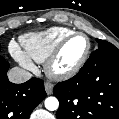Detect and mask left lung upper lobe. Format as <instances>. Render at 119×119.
Instances as JSON below:
<instances>
[{
	"label": "left lung upper lobe",
	"mask_w": 119,
	"mask_h": 119,
	"mask_svg": "<svg viewBox=\"0 0 119 119\" xmlns=\"http://www.w3.org/2000/svg\"><path fill=\"white\" fill-rule=\"evenodd\" d=\"M97 42H98V48H100L101 46L107 43L106 41L100 39H97Z\"/></svg>",
	"instance_id": "left-lung-upper-lobe-1"
}]
</instances>
